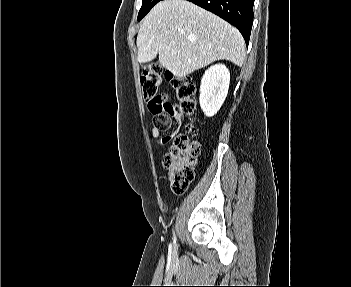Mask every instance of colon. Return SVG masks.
Here are the masks:
<instances>
[{
  "label": "colon",
  "mask_w": 351,
  "mask_h": 287,
  "mask_svg": "<svg viewBox=\"0 0 351 287\" xmlns=\"http://www.w3.org/2000/svg\"><path fill=\"white\" fill-rule=\"evenodd\" d=\"M172 82L178 105H172L167 97L159 94L162 85V69L157 63H151L143 70L140 77L142 95L154 115L153 126L159 131L168 129L171 118L177 115L191 116L197 108L196 86L192 77L188 75L172 77ZM188 130L193 131L192 126H189ZM199 152V144L192 141L187 133L174 138L172 147L163 159V166L168 171L174 193H185L193 182Z\"/></svg>",
  "instance_id": "obj_1"
}]
</instances>
